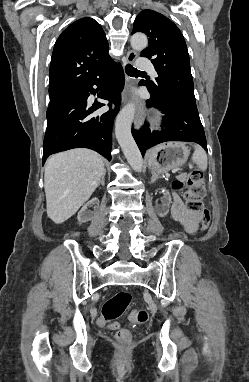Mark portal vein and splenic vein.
<instances>
[{
    "label": "portal vein and splenic vein",
    "mask_w": 249,
    "mask_h": 382,
    "mask_svg": "<svg viewBox=\"0 0 249 382\" xmlns=\"http://www.w3.org/2000/svg\"><path fill=\"white\" fill-rule=\"evenodd\" d=\"M177 172V170H173V173H176Z\"/></svg>",
    "instance_id": "portal-vein-and-splenic-vein-1"
}]
</instances>
